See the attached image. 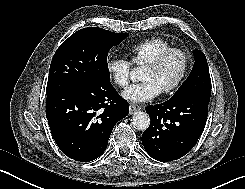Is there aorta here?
<instances>
[{
	"label": "aorta",
	"mask_w": 245,
	"mask_h": 189,
	"mask_svg": "<svg viewBox=\"0 0 245 189\" xmlns=\"http://www.w3.org/2000/svg\"><path fill=\"white\" fill-rule=\"evenodd\" d=\"M131 80L135 82L139 80V76L136 71L131 72ZM131 121H132L133 127L140 131L146 130L150 124V118L148 114L143 111L134 113Z\"/></svg>",
	"instance_id": "obj_1"
}]
</instances>
